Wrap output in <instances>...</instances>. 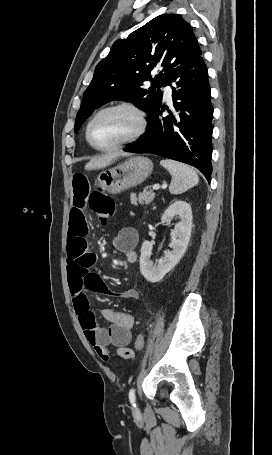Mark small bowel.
<instances>
[{
  "instance_id": "obj_1",
  "label": "small bowel",
  "mask_w": 272,
  "mask_h": 455,
  "mask_svg": "<svg viewBox=\"0 0 272 455\" xmlns=\"http://www.w3.org/2000/svg\"><path fill=\"white\" fill-rule=\"evenodd\" d=\"M90 190L89 176L83 172L75 173L72 177V208L67 238V272L74 309L86 339L103 361H108L112 353L132 361L135 357L134 351L128 348V345L132 340L133 316L127 312L105 308L102 315L110 325L108 328H103L97 323L87 297L89 291L123 299H139L137 290L128 288L118 292L113 291L91 271L97 257L89 249L86 241L88 234L86 208ZM112 243L125 255L128 263L137 261L138 234L134 228L121 229L114 236Z\"/></svg>"
}]
</instances>
